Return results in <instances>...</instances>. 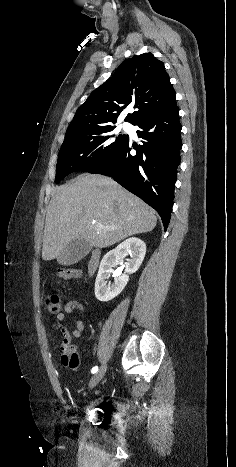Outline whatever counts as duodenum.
I'll return each mask as SVG.
<instances>
[{"instance_id":"410a0bca","label":"duodenum","mask_w":236,"mask_h":467,"mask_svg":"<svg viewBox=\"0 0 236 467\" xmlns=\"http://www.w3.org/2000/svg\"><path fill=\"white\" fill-rule=\"evenodd\" d=\"M101 260V252L100 250H94L91 253L87 264V274L88 276H92L98 269Z\"/></svg>"}]
</instances>
